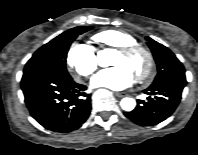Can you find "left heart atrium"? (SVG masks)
<instances>
[{
	"instance_id": "39dd6f15",
	"label": "left heart atrium",
	"mask_w": 198,
	"mask_h": 155,
	"mask_svg": "<svg viewBox=\"0 0 198 155\" xmlns=\"http://www.w3.org/2000/svg\"><path fill=\"white\" fill-rule=\"evenodd\" d=\"M134 81V72L124 64L103 69L91 80L94 87H105L115 91H120L131 86Z\"/></svg>"
}]
</instances>
